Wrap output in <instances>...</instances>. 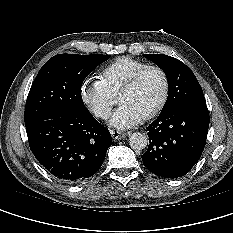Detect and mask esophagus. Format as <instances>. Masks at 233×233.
I'll use <instances>...</instances> for the list:
<instances>
[{
    "label": "esophagus",
    "instance_id": "esophagus-1",
    "mask_svg": "<svg viewBox=\"0 0 233 233\" xmlns=\"http://www.w3.org/2000/svg\"><path fill=\"white\" fill-rule=\"evenodd\" d=\"M110 133H111V136H112V138H113L114 140H120V139H122V138H125L126 135H127V134L124 133V132L114 131V130H111Z\"/></svg>",
    "mask_w": 233,
    "mask_h": 233
}]
</instances>
